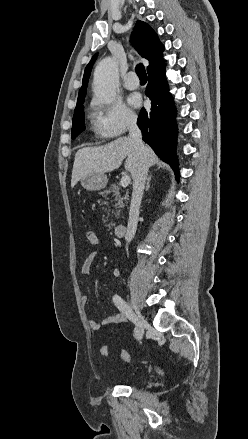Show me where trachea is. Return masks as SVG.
I'll return each mask as SVG.
<instances>
[{
    "mask_svg": "<svg viewBox=\"0 0 248 439\" xmlns=\"http://www.w3.org/2000/svg\"><path fill=\"white\" fill-rule=\"evenodd\" d=\"M135 70L140 80H147L146 70L142 64H138Z\"/></svg>",
    "mask_w": 248,
    "mask_h": 439,
    "instance_id": "trachea-1",
    "label": "trachea"
}]
</instances>
